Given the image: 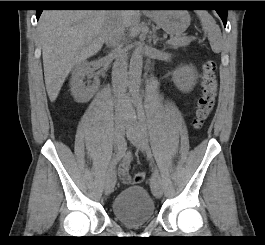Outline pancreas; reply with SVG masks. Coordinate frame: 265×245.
<instances>
[{
	"label": "pancreas",
	"mask_w": 265,
	"mask_h": 245,
	"mask_svg": "<svg viewBox=\"0 0 265 245\" xmlns=\"http://www.w3.org/2000/svg\"><path fill=\"white\" fill-rule=\"evenodd\" d=\"M191 40V38L186 36H176L173 38V42H171L169 45L173 46L174 48L183 47L189 45Z\"/></svg>",
	"instance_id": "1"
}]
</instances>
